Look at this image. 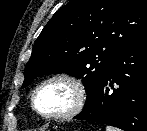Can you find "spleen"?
<instances>
[{
	"label": "spleen",
	"mask_w": 147,
	"mask_h": 131,
	"mask_svg": "<svg viewBox=\"0 0 147 131\" xmlns=\"http://www.w3.org/2000/svg\"><path fill=\"white\" fill-rule=\"evenodd\" d=\"M106 131H119V130L111 126H106Z\"/></svg>",
	"instance_id": "3e777b00"
}]
</instances>
